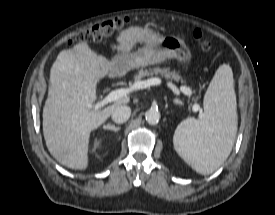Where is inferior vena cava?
Listing matches in <instances>:
<instances>
[{
  "instance_id": "602c4592",
  "label": "inferior vena cava",
  "mask_w": 275,
  "mask_h": 215,
  "mask_svg": "<svg viewBox=\"0 0 275 215\" xmlns=\"http://www.w3.org/2000/svg\"><path fill=\"white\" fill-rule=\"evenodd\" d=\"M131 115V109L129 106L120 105L117 106L111 114L112 120L115 123L122 124L125 123Z\"/></svg>"
}]
</instances>
